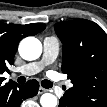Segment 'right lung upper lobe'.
I'll return each instance as SVG.
<instances>
[{
	"instance_id": "1",
	"label": "right lung upper lobe",
	"mask_w": 107,
	"mask_h": 107,
	"mask_svg": "<svg viewBox=\"0 0 107 107\" xmlns=\"http://www.w3.org/2000/svg\"><path fill=\"white\" fill-rule=\"evenodd\" d=\"M41 23L27 25L4 24L0 22V75L8 70L7 65L14 63V55L20 40L33 36L45 29ZM4 77L0 76V86Z\"/></svg>"
}]
</instances>
